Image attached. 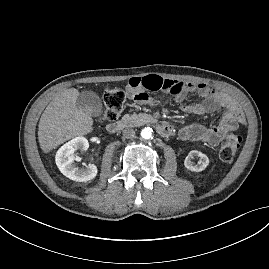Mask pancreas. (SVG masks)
I'll list each match as a JSON object with an SVG mask.
<instances>
[{"label":"pancreas","instance_id":"1","mask_svg":"<svg viewBox=\"0 0 269 269\" xmlns=\"http://www.w3.org/2000/svg\"><path fill=\"white\" fill-rule=\"evenodd\" d=\"M147 117L148 116L146 114H132V115L125 114L122 117L121 121L125 125L137 127V126L145 124L147 122L146 121Z\"/></svg>","mask_w":269,"mask_h":269}]
</instances>
